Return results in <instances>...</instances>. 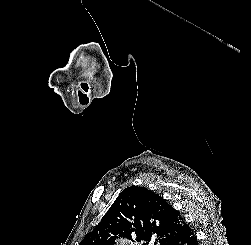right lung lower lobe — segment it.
<instances>
[{
  "instance_id": "obj_1",
  "label": "right lung lower lobe",
  "mask_w": 251,
  "mask_h": 245,
  "mask_svg": "<svg viewBox=\"0 0 251 245\" xmlns=\"http://www.w3.org/2000/svg\"><path fill=\"white\" fill-rule=\"evenodd\" d=\"M166 245H197V239L189 227L180 236L166 243Z\"/></svg>"
}]
</instances>
